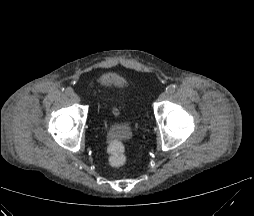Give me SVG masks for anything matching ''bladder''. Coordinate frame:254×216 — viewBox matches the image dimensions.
Returning a JSON list of instances; mask_svg holds the SVG:
<instances>
[{"mask_svg":"<svg viewBox=\"0 0 254 216\" xmlns=\"http://www.w3.org/2000/svg\"><path fill=\"white\" fill-rule=\"evenodd\" d=\"M119 79L113 75H105L99 81V89L103 95L104 99H107L110 96V91L113 89L115 82ZM111 111L114 115L121 114V108L117 103L111 104Z\"/></svg>","mask_w":254,"mask_h":216,"instance_id":"obj_1","label":"bladder"}]
</instances>
